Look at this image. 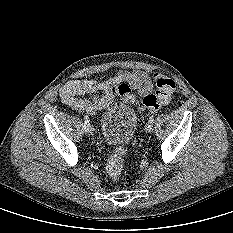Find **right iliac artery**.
Masks as SVG:
<instances>
[{"label": "right iliac artery", "instance_id": "obj_1", "mask_svg": "<svg viewBox=\"0 0 233 233\" xmlns=\"http://www.w3.org/2000/svg\"><path fill=\"white\" fill-rule=\"evenodd\" d=\"M84 118H85L84 128H85L86 133H89L90 123H89L88 116H84Z\"/></svg>", "mask_w": 233, "mask_h": 233}]
</instances>
